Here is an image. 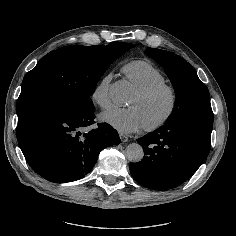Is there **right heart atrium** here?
Masks as SVG:
<instances>
[{
	"label": "right heart atrium",
	"instance_id": "d8ad5b80",
	"mask_svg": "<svg viewBox=\"0 0 236 236\" xmlns=\"http://www.w3.org/2000/svg\"><path fill=\"white\" fill-rule=\"evenodd\" d=\"M113 73H106L91 92V99L100 107L107 108L111 104L110 85Z\"/></svg>",
	"mask_w": 236,
	"mask_h": 236
}]
</instances>
